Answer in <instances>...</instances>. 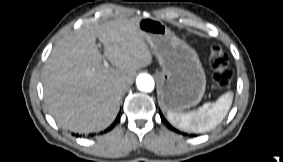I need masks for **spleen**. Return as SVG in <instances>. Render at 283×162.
I'll list each match as a JSON object with an SVG mask.
<instances>
[{
	"label": "spleen",
	"instance_id": "3e777b00",
	"mask_svg": "<svg viewBox=\"0 0 283 162\" xmlns=\"http://www.w3.org/2000/svg\"><path fill=\"white\" fill-rule=\"evenodd\" d=\"M233 92L229 91L216 102L205 103L197 110L181 113L175 110L167 112L169 122L180 130L203 133L216 127L227 115L233 101Z\"/></svg>",
	"mask_w": 283,
	"mask_h": 162
}]
</instances>
